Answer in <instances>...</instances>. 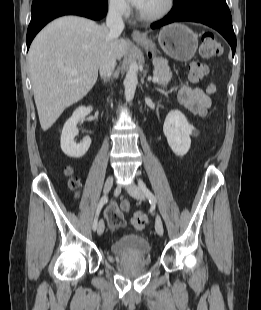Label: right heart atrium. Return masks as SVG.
Wrapping results in <instances>:
<instances>
[{"label":"right heart atrium","mask_w":261,"mask_h":310,"mask_svg":"<svg viewBox=\"0 0 261 310\" xmlns=\"http://www.w3.org/2000/svg\"><path fill=\"white\" fill-rule=\"evenodd\" d=\"M107 5L110 13L114 16L126 18L130 13L127 0H107Z\"/></svg>","instance_id":"obj_1"}]
</instances>
